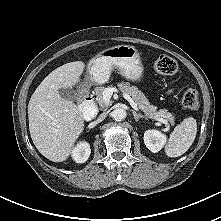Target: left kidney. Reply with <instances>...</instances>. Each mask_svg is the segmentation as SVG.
Listing matches in <instances>:
<instances>
[{
  "label": "left kidney",
  "mask_w": 221,
  "mask_h": 221,
  "mask_svg": "<svg viewBox=\"0 0 221 221\" xmlns=\"http://www.w3.org/2000/svg\"><path fill=\"white\" fill-rule=\"evenodd\" d=\"M144 143L151 152L160 151L166 143V136L157 130H147L144 133Z\"/></svg>",
  "instance_id": "1"
}]
</instances>
